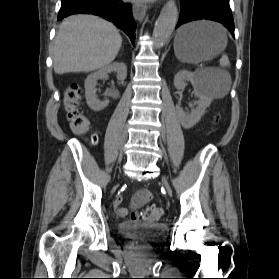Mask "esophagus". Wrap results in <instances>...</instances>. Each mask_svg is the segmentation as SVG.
I'll use <instances>...</instances> for the list:
<instances>
[{
	"mask_svg": "<svg viewBox=\"0 0 279 279\" xmlns=\"http://www.w3.org/2000/svg\"><path fill=\"white\" fill-rule=\"evenodd\" d=\"M132 9L134 18L138 21H143L147 13L148 6L143 2H137L133 4Z\"/></svg>",
	"mask_w": 279,
	"mask_h": 279,
	"instance_id": "34e87169",
	"label": "esophagus"
}]
</instances>
